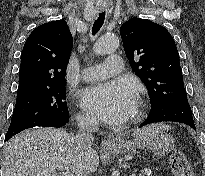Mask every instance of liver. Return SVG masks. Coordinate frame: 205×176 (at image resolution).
Listing matches in <instances>:
<instances>
[{
  "label": "liver",
  "mask_w": 205,
  "mask_h": 176,
  "mask_svg": "<svg viewBox=\"0 0 205 176\" xmlns=\"http://www.w3.org/2000/svg\"><path fill=\"white\" fill-rule=\"evenodd\" d=\"M149 130L143 128L134 136H143ZM72 138L62 129L23 131L5 147L4 176H84L95 172L99 166L97 152L77 150Z\"/></svg>",
  "instance_id": "1"
}]
</instances>
